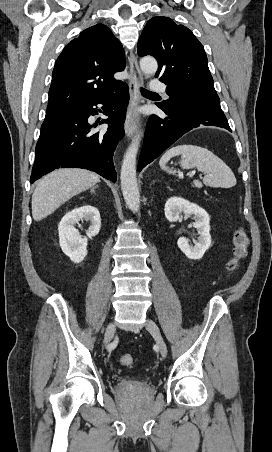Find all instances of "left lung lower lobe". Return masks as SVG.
I'll list each match as a JSON object with an SVG mask.
<instances>
[{
	"mask_svg": "<svg viewBox=\"0 0 272 452\" xmlns=\"http://www.w3.org/2000/svg\"><path fill=\"white\" fill-rule=\"evenodd\" d=\"M167 117L151 115L145 131L138 171L156 159L182 135L200 126H217L231 132L220 102L200 98L157 104Z\"/></svg>",
	"mask_w": 272,
	"mask_h": 452,
	"instance_id": "0a47b994",
	"label": "left lung lower lobe"
}]
</instances>
